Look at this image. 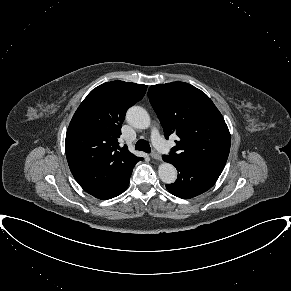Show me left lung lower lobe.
Here are the masks:
<instances>
[{
  "label": "left lung lower lobe",
  "mask_w": 291,
  "mask_h": 291,
  "mask_svg": "<svg viewBox=\"0 0 291 291\" xmlns=\"http://www.w3.org/2000/svg\"><path fill=\"white\" fill-rule=\"evenodd\" d=\"M163 160L173 164L179 172L176 182L166 185L167 190L184 199L206 192L223 171L222 167L182 162L170 155H164Z\"/></svg>",
  "instance_id": "1"
}]
</instances>
